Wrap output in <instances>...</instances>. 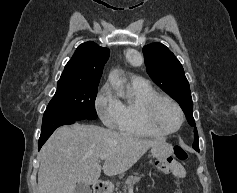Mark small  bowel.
<instances>
[{
	"instance_id": "small-bowel-1",
	"label": "small bowel",
	"mask_w": 237,
	"mask_h": 193,
	"mask_svg": "<svg viewBox=\"0 0 237 193\" xmlns=\"http://www.w3.org/2000/svg\"><path fill=\"white\" fill-rule=\"evenodd\" d=\"M172 173L179 180H182L186 177V172H185L184 168L178 163H175L173 165Z\"/></svg>"
}]
</instances>
